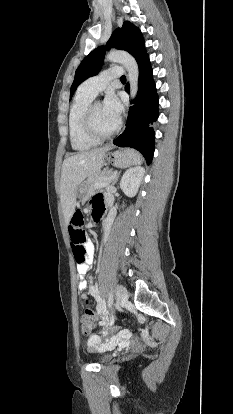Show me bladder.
<instances>
[{
  "label": "bladder",
  "instance_id": "31cf9c89",
  "mask_svg": "<svg viewBox=\"0 0 233 414\" xmlns=\"http://www.w3.org/2000/svg\"><path fill=\"white\" fill-rule=\"evenodd\" d=\"M110 360H111V355H110V354H108V353L103 354V355L100 357V359H99V361H100L101 363H107V362H109Z\"/></svg>",
  "mask_w": 233,
  "mask_h": 414
}]
</instances>
